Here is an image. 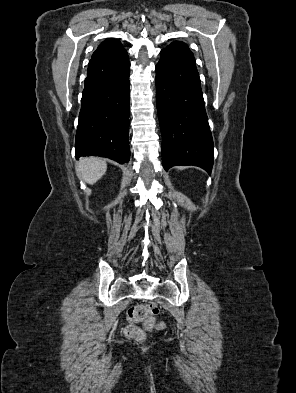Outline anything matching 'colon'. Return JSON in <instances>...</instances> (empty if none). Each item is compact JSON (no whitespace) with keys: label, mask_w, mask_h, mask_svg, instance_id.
<instances>
[{"label":"colon","mask_w":296,"mask_h":393,"mask_svg":"<svg viewBox=\"0 0 296 393\" xmlns=\"http://www.w3.org/2000/svg\"><path fill=\"white\" fill-rule=\"evenodd\" d=\"M158 312V306L152 303L139 304L129 308L127 311L128 320L135 323H142L144 327L140 328L135 325L127 326L125 329L127 336L139 341L145 340L146 330L154 327L155 321L153 317L156 316ZM159 327H161V325Z\"/></svg>","instance_id":"colon-1"}]
</instances>
